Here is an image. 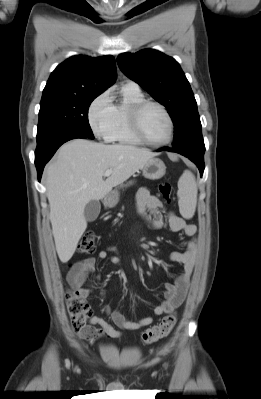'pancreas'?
<instances>
[{
    "label": "pancreas",
    "instance_id": "1",
    "mask_svg": "<svg viewBox=\"0 0 261 399\" xmlns=\"http://www.w3.org/2000/svg\"><path fill=\"white\" fill-rule=\"evenodd\" d=\"M130 184H132V182H129V184H128V185H130Z\"/></svg>",
    "mask_w": 261,
    "mask_h": 399
}]
</instances>
